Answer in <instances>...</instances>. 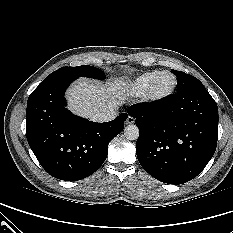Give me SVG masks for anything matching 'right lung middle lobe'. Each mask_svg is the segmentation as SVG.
Wrapping results in <instances>:
<instances>
[{"instance_id": "dd1d6c3e", "label": "right lung middle lobe", "mask_w": 233, "mask_h": 233, "mask_svg": "<svg viewBox=\"0 0 233 233\" xmlns=\"http://www.w3.org/2000/svg\"><path fill=\"white\" fill-rule=\"evenodd\" d=\"M81 76L100 79V80H103L105 78V74L103 73V71L93 66L83 65V66H77V67H62L52 72L50 75H48L40 85L48 83L52 80H55L61 77L78 78Z\"/></svg>"}]
</instances>
